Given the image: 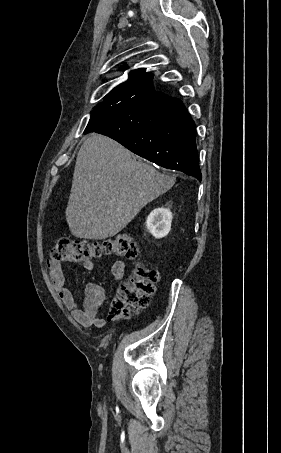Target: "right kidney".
<instances>
[{"mask_svg": "<svg viewBox=\"0 0 281 453\" xmlns=\"http://www.w3.org/2000/svg\"><path fill=\"white\" fill-rule=\"evenodd\" d=\"M172 218L170 208H164V206L154 208L147 216L146 227L153 237L162 239L168 235L171 229Z\"/></svg>", "mask_w": 281, "mask_h": 453, "instance_id": "right-kidney-1", "label": "right kidney"}]
</instances>
